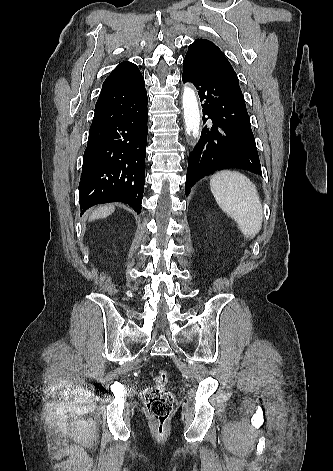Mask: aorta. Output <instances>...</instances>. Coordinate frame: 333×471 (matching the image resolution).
Returning <instances> with one entry per match:
<instances>
[{
  "label": "aorta",
  "mask_w": 333,
  "mask_h": 471,
  "mask_svg": "<svg viewBox=\"0 0 333 471\" xmlns=\"http://www.w3.org/2000/svg\"><path fill=\"white\" fill-rule=\"evenodd\" d=\"M182 107L186 132L189 135L192 134L193 137H197L199 135L200 126L199 106L194 90L188 86L184 87Z\"/></svg>",
  "instance_id": "aorta-1"
}]
</instances>
